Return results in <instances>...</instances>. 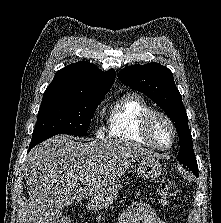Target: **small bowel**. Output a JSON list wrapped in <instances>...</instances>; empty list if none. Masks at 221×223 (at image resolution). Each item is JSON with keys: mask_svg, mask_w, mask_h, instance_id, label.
I'll use <instances>...</instances> for the list:
<instances>
[{"mask_svg": "<svg viewBox=\"0 0 221 223\" xmlns=\"http://www.w3.org/2000/svg\"><path fill=\"white\" fill-rule=\"evenodd\" d=\"M117 223H167L145 202H136L124 210Z\"/></svg>", "mask_w": 221, "mask_h": 223, "instance_id": "c3829d8e", "label": "small bowel"}]
</instances>
